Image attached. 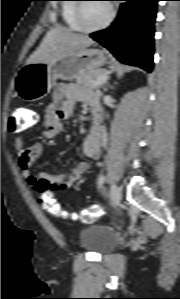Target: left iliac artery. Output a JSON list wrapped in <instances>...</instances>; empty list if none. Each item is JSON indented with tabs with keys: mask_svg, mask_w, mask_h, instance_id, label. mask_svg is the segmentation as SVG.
<instances>
[{
	"mask_svg": "<svg viewBox=\"0 0 180 299\" xmlns=\"http://www.w3.org/2000/svg\"><path fill=\"white\" fill-rule=\"evenodd\" d=\"M105 179H106L105 175H101V176L99 177L98 183H99V186H100V187H102V185H103Z\"/></svg>",
	"mask_w": 180,
	"mask_h": 299,
	"instance_id": "1",
	"label": "left iliac artery"
}]
</instances>
